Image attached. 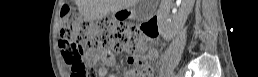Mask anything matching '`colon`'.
<instances>
[{"label":"colon","mask_w":258,"mask_h":77,"mask_svg":"<svg viewBox=\"0 0 258 77\" xmlns=\"http://www.w3.org/2000/svg\"><path fill=\"white\" fill-rule=\"evenodd\" d=\"M59 36V44L65 61L71 66L72 77H84L87 72L83 61L84 51L100 48L131 53L127 76L133 77L139 70L147 69L146 52L154 38L148 29L141 32L122 22L106 19L96 23L88 22L67 7L60 10Z\"/></svg>","instance_id":"1"}]
</instances>
